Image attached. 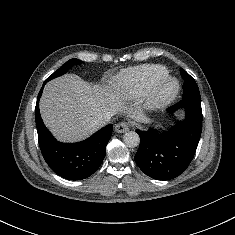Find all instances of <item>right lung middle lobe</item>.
Listing matches in <instances>:
<instances>
[{"mask_svg":"<svg viewBox=\"0 0 235 235\" xmlns=\"http://www.w3.org/2000/svg\"><path fill=\"white\" fill-rule=\"evenodd\" d=\"M81 61L78 59H70L67 61L62 67H60L57 71H55L52 75H50L45 82L50 81L51 79H54L58 76L63 75L64 73L67 72L69 68H71L74 64L80 63Z\"/></svg>","mask_w":235,"mask_h":235,"instance_id":"right-lung-middle-lobe-1","label":"right lung middle lobe"}]
</instances>
